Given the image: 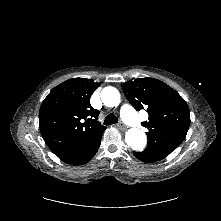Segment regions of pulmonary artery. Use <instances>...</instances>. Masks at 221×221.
Returning <instances> with one entry per match:
<instances>
[{"label": "pulmonary artery", "instance_id": "1", "mask_svg": "<svg viewBox=\"0 0 221 221\" xmlns=\"http://www.w3.org/2000/svg\"><path fill=\"white\" fill-rule=\"evenodd\" d=\"M121 114L123 119L130 125L139 126L142 123V119L127 104L121 107Z\"/></svg>", "mask_w": 221, "mask_h": 221}]
</instances>
